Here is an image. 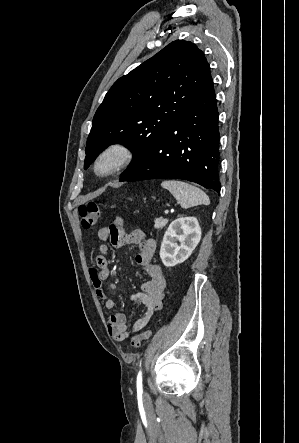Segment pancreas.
Masks as SVG:
<instances>
[{"instance_id":"cf45deb5","label":"pancreas","mask_w":299,"mask_h":443,"mask_svg":"<svg viewBox=\"0 0 299 443\" xmlns=\"http://www.w3.org/2000/svg\"><path fill=\"white\" fill-rule=\"evenodd\" d=\"M168 223V219L163 218H157L155 220L154 228L155 229H162L166 224Z\"/></svg>"}]
</instances>
